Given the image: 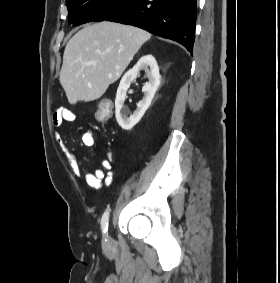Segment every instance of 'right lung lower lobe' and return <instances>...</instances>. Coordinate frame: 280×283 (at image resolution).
Returning a JSON list of instances; mask_svg holds the SVG:
<instances>
[{
	"label": "right lung lower lobe",
	"mask_w": 280,
	"mask_h": 283,
	"mask_svg": "<svg viewBox=\"0 0 280 283\" xmlns=\"http://www.w3.org/2000/svg\"><path fill=\"white\" fill-rule=\"evenodd\" d=\"M196 2L197 0H132L105 20L140 27L174 40L192 52Z\"/></svg>",
	"instance_id": "obj_1"
}]
</instances>
